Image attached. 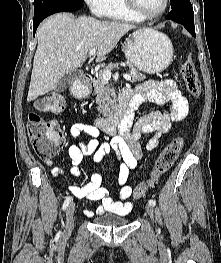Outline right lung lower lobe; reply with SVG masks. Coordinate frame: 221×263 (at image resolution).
Here are the masks:
<instances>
[{"instance_id": "right-lung-lower-lobe-1", "label": "right lung lower lobe", "mask_w": 221, "mask_h": 263, "mask_svg": "<svg viewBox=\"0 0 221 263\" xmlns=\"http://www.w3.org/2000/svg\"><path fill=\"white\" fill-rule=\"evenodd\" d=\"M83 7L82 5H75V6H65V7H57V8H53L47 11H44L42 13L36 14L34 15V19H33V23H34V35H35V31L38 27V25L40 24V22H42L47 16L54 14V13H58V12H72V11H76L80 8Z\"/></svg>"}]
</instances>
